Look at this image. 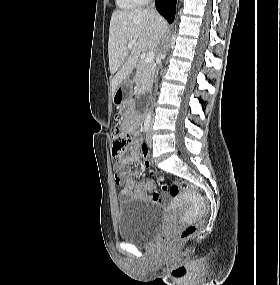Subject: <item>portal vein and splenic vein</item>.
<instances>
[{"label":"portal vein and splenic vein","mask_w":280,"mask_h":285,"mask_svg":"<svg viewBox=\"0 0 280 285\" xmlns=\"http://www.w3.org/2000/svg\"><path fill=\"white\" fill-rule=\"evenodd\" d=\"M135 41H136V39H134V40H132L130 43H128V45H127L128 49H132L133 44L135 43ZM154 56H155L154 52H152V51H151V52H148V53L146 54V57H145L144 61H145L146 63H150V62L153 61Z\"/></svg>","instance_id":"1"}]
</instances>
